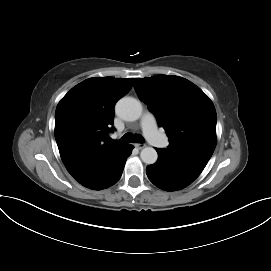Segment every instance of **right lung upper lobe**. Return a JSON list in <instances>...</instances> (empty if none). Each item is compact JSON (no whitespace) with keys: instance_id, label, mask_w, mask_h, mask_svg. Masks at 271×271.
<instances>
[{"instance_id":"cb5924a9","label":"right lung upper lobe","mask_w":271,"mask_h":271,"mask_svg":"<svg viewBox=\"0 0 271 271\" xmlns=\"http://www.w3.org/2000/svg\"><path fill=\"white\" fill-rule=\"evenodd\" d=\"M132 84L133 78H89L58 103L55 139L65 167L80 184L98 175L125 147L110 141L108 130L114 129L115 103Z\"/></svg>"}]
</instances>
